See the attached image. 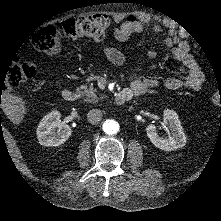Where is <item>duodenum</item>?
I'll use <instances>...</instances> for the list:
<instances>
[{
  "mask_svg": "<svg viewBox=\"0 0 221 221\" xmlns=\"http://www.w3.org/2000/svg\"><path fill=\"white\" fill-rule=\"evenodd\" d=\"M135 93L130 89H124L118 92L115 96V103L118 105L124 104L129 101ZM79 97V94L73 90L65 89L62 91V98L69 103L75 102Z\"/></svg>",
  "mask_w": 221,
  "mask_h": 221,
  "instance_id": "1",
  "label": "duodenum"
}]
</instances>
